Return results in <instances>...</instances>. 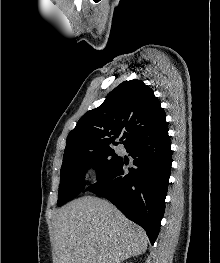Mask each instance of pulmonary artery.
Masks as SVG:
<instances>
[{"label":"pulmonary artery","instance_id":"pulmonary-artery-1","mask_svg":"<svg viewBox=\"0 0 220 263\" xmlns=\"http://www.w3.org/2000/svg\"><path fill=\"white\" fill-rule=\"evenodd\" d=\"M117 150H118L119 152H121V151H122V147L119 145V146L117 147Z\"/></svg>","mask_w":220,"mask_h":263}]
</instances>
